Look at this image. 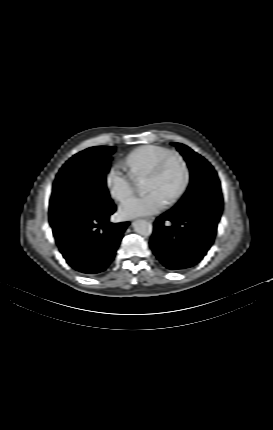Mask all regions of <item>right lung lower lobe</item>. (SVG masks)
Masks as SVG:
<instances>
[{
  "label": "right lung lower lobe",
  "mask_w": 273,
  "mask_h": 430,
  "mask_svg": "<svg viewBox=\"0 0 273 430\" xmlns=\"http://www.w3.org/2000/svg\"><path fill=\"white\" fill-rule=\"evenodd\" d=\"M115 210L113 206L53 229L56 243L67 263L85 276L104 272L115 257L129 224L109 222Z\"/></svg>",
  "instance_id": "right-lung-lower-lobe-1"
}]
</instances>
